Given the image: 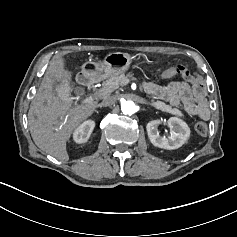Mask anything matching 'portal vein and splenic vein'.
Wrapping results in <instances>:
<instances>
[{"label": "portal vein and splenic vein", "instance_id": "1", "mask_svg": "<svg viewBox=\"0 0 237 237\" xmlns=\"http://www.w3.org/2000/svg\"><path fill=\"white\" fill-rule=\"evenodd\" d=\"M130 80H131V79H130ZM130 80H129L128 82H124V80H123V82H124V83H129V82H130ZM123 82H122V83H123ZM121 85H122V84H121Z\"/></svg>", "mask_w": 237, "mask_h": 237}]
</instances>
